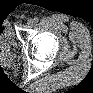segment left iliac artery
<instances>
[{"label":"left iliac artery","instance_id":"left-iliac-artery-1","mask_svg":"<svg viewBox=\"0 0 93 93\" xmlns=\"http://www.w3.org/2000/svg\"><path fill=\"white\" fill-rule=\"evenodd\" d=\"M33 21H34V23H37V22L39 21V19H38L37 17H35V18L33 19Z\"/></svg>","mask_w":93,"mask_h":93}]
</instances>
